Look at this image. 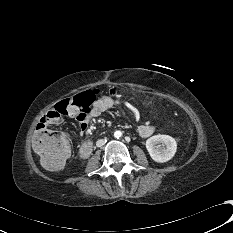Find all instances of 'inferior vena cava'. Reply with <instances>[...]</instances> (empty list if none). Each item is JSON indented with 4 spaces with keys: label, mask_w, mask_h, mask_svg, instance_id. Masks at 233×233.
I'll return each mask as SVG.
<instances>
[{
    "label": "inferior vena cava",
    "mask_w": 233,
    "mask_h": 233,
    "mask_svg": "<svg viewBox=\"0 0 233 233\" xmlns=\"http://www.w3.org/2000/svg\"><path fill=\"white\" fill-rule=\"evenodd\" d=\"M105 144V140L104 139H100V140H98L97 142H96V146L97 147H101V146H103Z\"/></svg>",
    "instance_id": "602c4592"
}]
</instances>
